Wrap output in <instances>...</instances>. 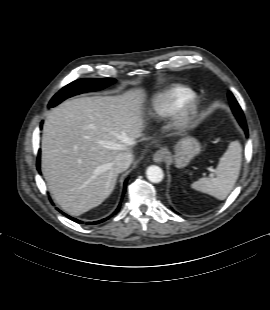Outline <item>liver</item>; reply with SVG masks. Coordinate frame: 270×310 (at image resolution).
I'll return each mask as SVG.
<instances>
[{"label": "liver", "instance_id": "1", "mask_svg": "<svg viewBox=\"0 0 270 310\" xmlns=\"http://www.w3.org/2000/svg\"><path fill=\"white\" fill-rule=\"evenodd\" d=\"M141 89L116 96L69 99L51 110L42 135V173L70 215L99 206L114 190V160L143 136Z\"/></svg>", "mask_w": 270, "mask_h": 310}]
</instances>
